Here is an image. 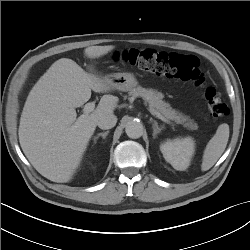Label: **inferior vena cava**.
<instances>
[{"mask_svg": "<svg viewBox=\"0 0 250 250\" xmlns=\"http://www.w3.org/2000/svg\"><path fill=\"white\" fill-rule=\"evenodd\" d=\"M117 123V117L114 114L102 115L97 121L100 129H111Z\"/></svg>", "mask_w": 250, "mask_h": 250, "instance_id": "obj_1", "label": "inferior vena cava"}]
</instances>
